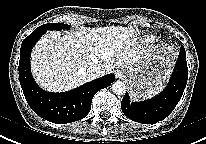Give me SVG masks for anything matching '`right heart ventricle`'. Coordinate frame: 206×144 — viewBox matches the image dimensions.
I'll return each mask as SVG.
<instances>
[{
	"mask_svg": "<svg viewBox=\"0 0 206 144\" xmlns=\"http://www.w3.org/2000/svg\"><path fill=\"white\" fill-rule=\"evenodd\" d=\"M153 39H154L153 36H146V37L144 38V42L149 43V42H151Z\"/></svg>",
	"mask_w": 206,
	"mask_h": 144,
	"instance_id": "right-heart-ventricle-1",
	"label": "right heart ventricle"
}]
</instances>
